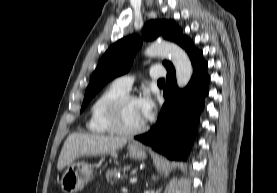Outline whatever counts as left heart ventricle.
Returning a JSON list of instances; mask_svg holds the SVG:
<instances>
[{"label":"left heart ventricle","mask_w":277,"mask_h":193,"mask_svg":"<svg viewBox=\"0 0 277 193\" xmlns=\"http://www.w3.org/2000/svg\"><path fill=\"white\" fill-rule=\"evenodd\" d=\"M122 124L126 128H136L144 123L139 110L137 108L136 100H128L122 108Z\"/></svg>","instance_id":"obj_1"}]
</instances>
